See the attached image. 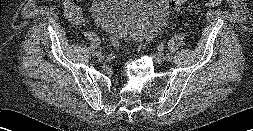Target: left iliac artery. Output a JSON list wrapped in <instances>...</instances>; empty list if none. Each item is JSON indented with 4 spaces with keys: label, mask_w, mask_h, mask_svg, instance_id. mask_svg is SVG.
<instances>
[{
    "label": "left iliac artery",
    "mask_w": 253,
    "mask_h": 131,
    "mask_svg": "<svg viewBox=\"0 0 253 131\" xmlns=\"http://www.w3.org/2000/svg\"><path fill=\"white\" fill-rule=\"evenodd\" d=\"M155 50H156L157 52H164V51L166 50V47H165L164 45H157V46L155 47Z\"/></svg>",
    "instance_id": "obj_1"
}]
</instances>
